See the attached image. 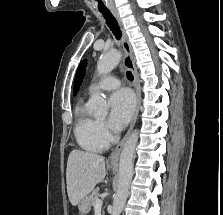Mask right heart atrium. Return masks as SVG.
Listing matches in <instances>:
<instances>
[{
	"label": "right heart atrium",
	"mask_w": 223,
	"mask_h": 215,
	"mask_svg": "<svg viewBox=\"0 0 223 215\" xmlns=\"http://www.w3.org/2000/svg\"><path fill=\"white\" fill-rule=\"evenodd\" d=\"M98 125H99L100 132L102 133L104 137L109 138L113 135L108 124L105 121L99 120Z\"/></svg>",
	"instance_id": "obj_1"
}]
</instances>
